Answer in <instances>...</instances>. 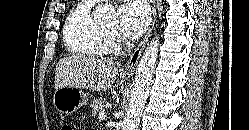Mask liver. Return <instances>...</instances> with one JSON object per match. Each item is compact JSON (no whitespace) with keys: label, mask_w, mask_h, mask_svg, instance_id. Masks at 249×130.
Here are the masks:
<instances>
[{"label":"liver","mask_w":249,"mask_h":130,"mask_svg":"<svg viewBox=\"0 0 249 130\" xmlns=\"http://www.w3.org/2000/svg\"><path fill=\"white\" fill-rule=\"evenodd\" d=\"M121 70L120 64L96 56H71L61 59L55 70V90L70 86L78 89L107 90Z\"/></svg>","instance_id":"liver-1"}]
</instances>
